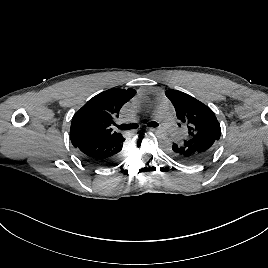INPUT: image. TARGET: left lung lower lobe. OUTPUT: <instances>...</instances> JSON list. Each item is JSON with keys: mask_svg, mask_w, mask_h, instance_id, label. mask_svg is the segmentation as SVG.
I'll use <instances>...</instances> for the list:
<instances>
[{"mask_svg": "<svg viewBox=\"0 0 268 268\" xmlns=\"http://www.w3.org/2000/svg\"><path fill=\"white\" fill-rule=\"evenodd\" d=\"M218 141L211 137H187L181 141L170 142L167 153L176 161L194 165L208 159L216 149Z\"/></svg>", "mask_w": 268, "mask_h": 268, "instance_id": "0a47b994", "label": "left lung lower lobe"}]
</instances>
